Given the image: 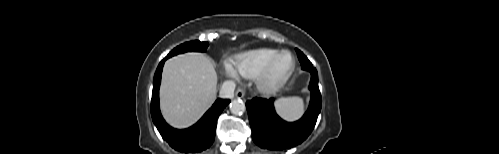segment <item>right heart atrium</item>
Listing matches in <instances>:
<instances>
[{
	"mask_svg": "<svg viewBox=\"0 0 499 154\" xmlns=\"http://www.w3.org/2000/svg\"><path fill=\"white\" fill-rule=\"evenodd\" d=\"M225 68L228 74L234 75V71L230 65H226Z\"/></svg>",
	"mask_w": 499,
	"mask_h": 154,
	"instance_id": "right-heart-atrium-1",
	"label": "right heart atrium"
}]
</instances>
